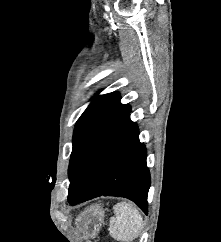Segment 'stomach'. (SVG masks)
<instances>
[{
	"label": "stomach",
	"instance_id": "stomach-1",
	"mask_svg": "<svg viewBox=\"0 0 221 242\" xmlns=\"http://www.w3.org/2000/svg\"><path fill=\"white\" fill-rule=\"evenodd\" d=\"M104 217V210L100 206H90L77 217V228L83 233L85 239L94 238L104 222Z\"/></svg>",
	"mask_w": 221,
	"mask_h": 242
}]
</instances>
